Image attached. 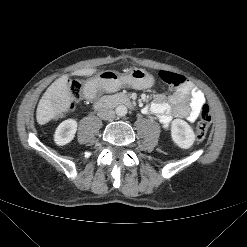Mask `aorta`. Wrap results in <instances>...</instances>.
<instances>
[{"mask_svg": "<svg viewBox=\"0 0 247 247\" xmlns=\"http://www.w3.org/2000/svg\"><path fill=\"white\" fill-rule=\"evenodd\" d=\"M128 110L127 107L125 105H119L116 108V114L119 117H123L127 114Z\"/></svg>", "mask_w": 247, "mask_h": 247, "instance_id": "aorta-1", "label": "aorta"}]
</instances>
